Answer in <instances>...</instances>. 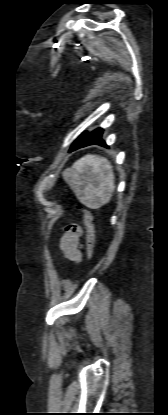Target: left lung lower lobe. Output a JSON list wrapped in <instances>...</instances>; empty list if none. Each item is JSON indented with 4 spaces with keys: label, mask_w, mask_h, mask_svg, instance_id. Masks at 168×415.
<instances>
[{
    "label": "left lung lower lobe",
    "mask_w": 168,
    "mask_h": 415,
    "mask_svg": "<svg viewBox=\"0 0 168 415\" xmlns=\"http://www.w3.org/2000/svg\"><path fill=\"white\" fill-rule=\"evenodd\" d=\"M102 128H97L96 130L88 133L83 134L79 139L75 141L72 145L70 151H74L76 149L88 146V145H101L107 146L105 141L102 139Z\"/></svg>",
    "instance_id": "obj_1"
}]
</instances>
